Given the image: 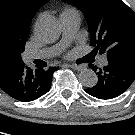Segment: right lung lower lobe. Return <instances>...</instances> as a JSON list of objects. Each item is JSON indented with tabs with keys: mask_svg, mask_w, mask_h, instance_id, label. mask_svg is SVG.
<instances>
[{
	"mask_svg": "<svg viewBox=\"0 0 135 135\" xmlns=\"http://www.w3.org/2000/svg\"><path fill=\"white\" fill-rule=\"evenodd\" d=\"M58 68L32 70L23 61L0 60V89L19 101L35 100L50 90L52 74Z\"/></svg>",
	"mask_w": 135,
	"mask_h": 135,
	"instance_id": "1",
	"label": "right lung lower lobe"
}]
</instances>
